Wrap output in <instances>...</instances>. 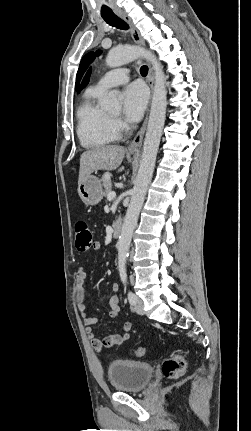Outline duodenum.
<instances>
[{
	"mask_svg": "<svg viewBox=\"0 0 251 431\" xmlns=\"http://www.w3.org/2000/svg\"><path fill=\"white\" fill-rule=\"evenodd\" d=\"M123 228V221L121 219H118L115 221L113 225V237L118 238L122 232Z\"/></svg>",
	"mask_w": 251,
	"mask_h": 431,
	"instance_id": "duodenum-1",
	"label": "duodenum"
}]
</instances>
